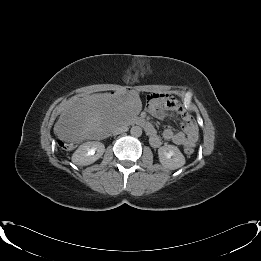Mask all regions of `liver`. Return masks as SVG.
Here are the masks:
<instances>
[{"label": "liver", "mask_w": 261, "mask_h": 261, "mask_svg": "<svg viewBox=\"0 0 261 261\" xmlns=\"http://www.w3.org/2000/svg\"><path fill=\"white\" fill-rule=\"evenodd\" d=\"M137 92L118 91L86 96L61 113L54 125L59 139L81 142L121 128L139 110Z\"/></svg>", "instance_id": "liver-1"}]
</instances>
